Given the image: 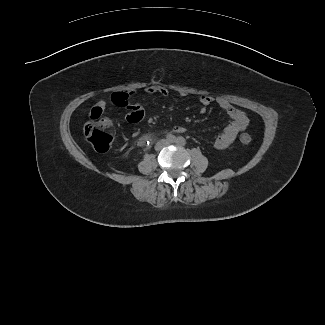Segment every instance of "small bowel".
<instances>
[{
  "mask_svg": "<svg viewBox=\"0 0 325 325\" xmlns=\"http://www.w3.org/2000/svg\"><path fill=\"white\" fill-rule=\"evenodd\" d=\"M145 92L148 94H158L163 97L169 95L168 89L162 86L152 85L145 88ZM137 91H131L130 93L117 92L113 95V102L120 110L129 109L125 114V119L130 123H138L145 116V109L141 104H132L130 96H137ZM180 96H186L184 91L179 92ZM214 101V98L209 95H201L199 102L203 106H208ZM217 105L224 110L231 118V122L223 129V131L215 138L214 145L218 149H225L229 147L237 138V136L243 132L248 125V118L246 114L239 109L235 108L230 102L224 98L216 99ZM110 108L105 101H99L96 103L90 111L93 116L100 117L104 112L109 111ZM204 112V109L202 110ZM184 128L176 126L173 128L174 132H184Z\"/></svg>",
  "mask_w": 325,
  "mask_h": 325,
  "instance_id": "c3829d8e",
  "label": "small bowel"
}]
</instances>
